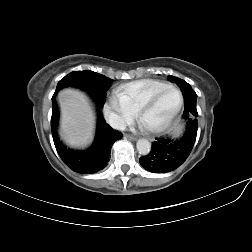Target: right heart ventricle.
Segmentation results:
<instances>
[{"label": "right heart ventricle", "mask_w": 252, "mask_h": 252, "mask_svg": "<svg viewBox=\"0 0 252 252\" xmlns=\"http://www.w3.org/2000/svg\"><path fill=\"white\" fill-rule=\"evenodd\" d=\"M169 86V84L160 80L142 79L123 84L117 87V90L121 92L127 98L131 106L137 110L147 99Z\"/></svg>", "instance_id": "right-heart-ventricle-1"}]
</instances>
